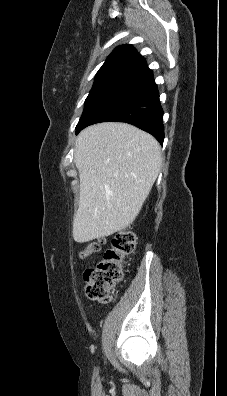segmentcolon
Here are the masks:
<instances>
[{"label": "colon", "instance_id": "5ec220e1", "mask_svg": "<svg viewBox=\"0 0 227 396\" xmlns=\"http://www.w3.org/2000/svg\"><path fill=\"white\" fill-rule=\"evenodd\" d=\"M103 240L88 243L81 252L83 257L100 251ZM136 236L131 230H121L112 239L97 264L84 273L87 296L100 303H107L116 286L123 280V263L135 250Z\"/></svg>", "mask_w": 227, "mask_h": 396}]
</instances>
